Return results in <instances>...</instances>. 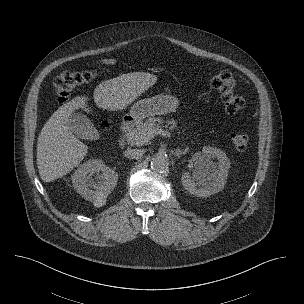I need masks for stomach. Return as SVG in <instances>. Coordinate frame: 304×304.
<instances>
[{
	"label": "stomach",
	"mask_w": 304,
	"mask_h": 304,
	"mask_svg": "<svg viewBox=\"0 0 304 304\" xmlns=\"http://www.w3.org/2000/svg\"><path fill=\"white\" fill-rule=\"evenodd\" d=\"M179 105V100L171 95H156L142 99L133 104L127 115L134 122H140L144 118L155 115H164L174 111Z\"/></svg>",
	"instance_id": "0dacf381"
}]
</instances>
